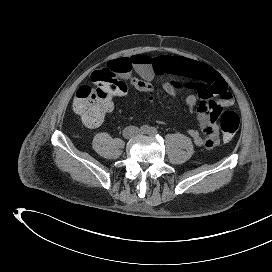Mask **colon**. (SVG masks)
I'll return each instance as SVG.
<instances>
[{"label":"colon","instance_id":"colon-1","mask_svg":"<svg viewBox=\"0 0 272 272\" xmlns=\"http://www.w3.org/2000/svg\"><path fill=\"white\" fill-rule=\"evenodd\" d=\"M91 80L93 85H83L77 90L73 109L87 126L96 128L102 123L112 99L123 96L127 86L110 67L94 71ZM219 124L224 139L229 141L239 129L240 118L233 111L220 109Z\"/></svg>","mask_w":272,"mask_h":272}]
</instances>
